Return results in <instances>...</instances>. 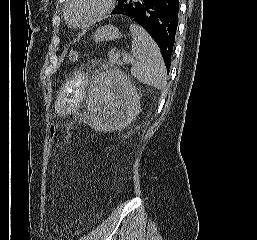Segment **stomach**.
<instances>
[{
    "label": "stomach",
    "mask_w": 257,
    "mask_h": 240,
    "mask_svg": "<svg viewBox=\"0 0 257 240\" xmlns=\"http://www.w3.org/2000/svg\"><path fill=\"white\" fill-rule=\"evenodd\" d=\"M120 37L119 30L113 25L99 27L93 34V40L96 42L114 40Z\"/></svg>",
    "instance_id": "stomach-1"
}]
</instances>
